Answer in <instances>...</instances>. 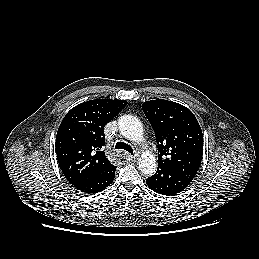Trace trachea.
I'll return each mask as SVG.
<instances>
[{
	"label": "trachea",
	"mask_w": 259,
	"mask_h": 259,
	"mask_svg": "<svg viewBox=\"0 0 259 259\" xmlns=\"http://www.w3.org/2000/svg\"><path fill=\"white\" fill-rule=\"evenodd\" d=\"M115 149H123V150L133 154L132 147L130 145H128L127 143H124L122 141H119V142L116 143Z\"/></svg>",
	"instance_id": "obj_1"
}]
</instances>
